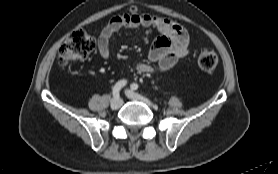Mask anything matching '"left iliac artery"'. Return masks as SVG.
Wrapping results in <instances>:
<instances>
[{
    "instance_id": "1",
    "label": "left iliac artery",
    "mask_w": 278,
    "mask_h": 174,
    "mask_svg": "<svg viewBox=\"0 0 278 174\" xmlns=\"http://www.w3.org/2000/svg\"><path fill=\"white\" fill-rule=\"evenodd\" d=\"M138 84L137 83H133L132 85H131V89L132 90H137L138 89Z\"/></svg>"
}]
</instances>
